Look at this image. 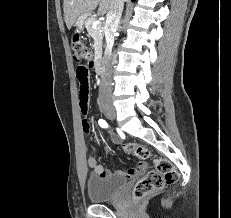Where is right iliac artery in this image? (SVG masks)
Here are the masks:
<instances>
[{
    "mask_svg": "<svg viewBox=\"0 0 231 218\" xmlns=\"http://www.w3.org/2000/svg\"><path fill=\"white\" fill-rule=\"evenodd\" d=\"M98 123L103 128H107L108 127L107 122L105 120H103V119H100Z\"/></svg>",
    "mask_w": 231,
    "mask_h": 218,
    "instance_id": "1",
    "label": "right iliac artery"
}]
</instances>
